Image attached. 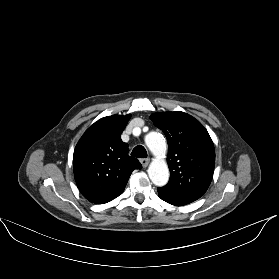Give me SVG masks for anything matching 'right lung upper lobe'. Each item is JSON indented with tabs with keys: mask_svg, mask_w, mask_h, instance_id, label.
<instances>
[{
	"mask_svg": "<svg viewBox=\"0 0 279 279\" xmlns=\"http://www.w3.org/2000/svg\"><path fill=\"white\" fill-rule=\"evenodd\" d=\"M131 115L101 118L78 141L73 155L74 177L82 195L95 204L107 203L125 189L141 163L128 155L121 134Z\"/></svg>",
	"mask_w": 279,
	"mask_h": 279,
	"instance_id": "cb5924a9",
	"label": "right lung upper lobe"
}]
</instances>
